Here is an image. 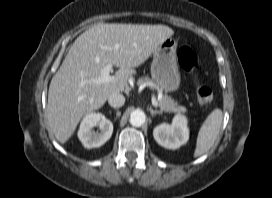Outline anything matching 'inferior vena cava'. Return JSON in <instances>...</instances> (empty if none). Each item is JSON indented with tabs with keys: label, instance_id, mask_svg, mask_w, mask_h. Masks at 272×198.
Here are the masks:
<instances>
[{
	"label": "inferior vena cava",
	"instance_id": "602c4592",
	"mask_svg": "<svg viewBox=\"0 0 272 198\" xmlns=\"http://www.w3.org/2000/svg\"><path fill=\"white\" fill-rule=\"evenodd\" d=\"M108 103L111 107L119 108L124 105L125 97L120 93H113L108 97Z\"/></svg>",
	"mask_w": 272,
	"mask_h": 198
}]
</instances>
